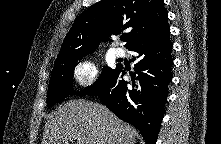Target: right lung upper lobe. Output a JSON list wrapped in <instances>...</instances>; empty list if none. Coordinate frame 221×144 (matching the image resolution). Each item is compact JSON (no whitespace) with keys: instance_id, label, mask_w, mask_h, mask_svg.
Instances as JSON below:
<instances>
[{"instance_id":"1","label":"right lung upper lobe","mask_w":221,"mask_h":144,"mask_svg":"<svg viewBox=\"0 0 221 144\" xmlns=\"http://www.w3.org/2000/svg\"><path fill=\"white\" fill-rule=\"evenodd\" d=\"M163 0H102L82 12L66 35L54 67L94 52L102 39L128 29L125 47L167 24Z\"/></svg>"}]
</instances>
